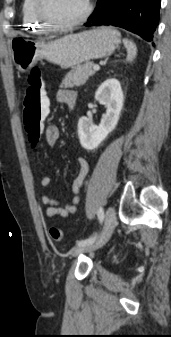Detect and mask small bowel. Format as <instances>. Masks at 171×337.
I'll return each mask as SVG.
<instances>
[{
	"label": "small bowel",
	"mask_w": 171,
	"mask_h": 337,
	"mask_svg": "<svg viewBox=\"0 0 171 337\" xmlns=\"http://www.w3.org/2000/svg\"><path fill=\"white\" fill-rule=\"evenodd\" d=\"M77 98V93L69 89L62 88L56 93L57 102L60 104H67L69 107L75 106ZM46 109H49V107ZM45 137L49 145H56L60 139L59 127L56 125H48L45 129ZM77 164L79 171L72 182V198L69 203H62L58 199L46 194L42 196V203L47 206L45 214L48 218L55 216L68 217L69 215L76 213L80 202V190L89 173V163L84 157H78ZM40 184L42 187H47L50 184L49 176L43 175L40 178Z\"/></svg>",
	"instance_id": "c3829d8e"
}]
</instances>
